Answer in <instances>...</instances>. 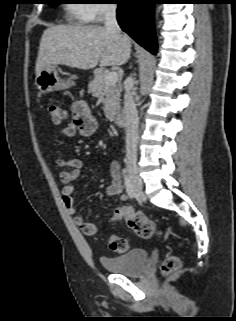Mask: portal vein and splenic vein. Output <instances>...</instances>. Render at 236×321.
I'll return each instance as SVG.
<instances>
[{
	"label": "portal vein and splenic vein",
	"instance_id": "portal-vein-and-splenic-vein-1",
	"mask_svg": "<svg viewBox=\"0 0 236 321\" xmlns=\"http://www.w3.org/2000/svg\"><path fill=\"white\" fill-rule=\"evenodd\" d=\"M118 81V74L116 72H108L105 77L107 84H115Z\"/></svg>",
	"mask_w": 236,
	"mask_h": 321
}]
</instances>
